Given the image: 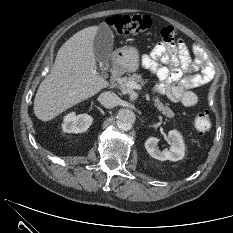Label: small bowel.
Returning <instances> with one entry per match:
<instances>
[{
  "label": "small bowel",
  "mask_w": 233,
  "mask_h": 233,
  "mask_svg": "<svg viewBox=\"0 0 233 233\" xmlns=\"http://www.w3.org/2000/svg\"><path fill=\"white\" fill-rule=\"evenodd\" d=\"M142 64L157 77V93L188 107L198 103L193 89L214 76V67L203 48L197 44L188 48L172 27L163 28L162 41L142 57Z\"/></svg>",
  "instance_id": "obj_1"
}]
</instances>
